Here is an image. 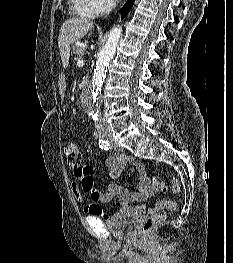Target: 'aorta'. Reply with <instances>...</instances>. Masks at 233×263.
Returning <instances> with one entry per match:
<instances>
[{
	"label": "aorta",
	"instance_id": "obj_1",
	"mask_svg": "<svg viewBox=\"0 0 233 263\" xmlns=\"http://www.w3.org/2000/svg\"><path fill=\"white\" fill-rule=\"evenodd\" d=\"M122 34V29L120 27H115L111 29L105 46L98 54L96 61V66L92 76L91 90L88 92L85 98V105L94 113H97L101 88L106 77V69L113 58L120 36Z\"/></svg>",
	"mask_w": 233,
	"mask_h": 263
}]
</instances>
